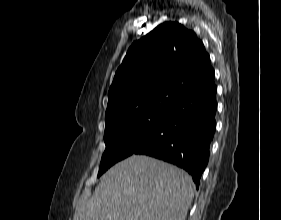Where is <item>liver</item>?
<instances>
[{"label": "liver", "instance_id": "obj_1", "mask_svg": "<svg viewBox=\"0 0 281 220\" xmlns=\"http://www.w3.org/2000/svg\"><path fill=\"white\" fill-rule=\"evenodd\" d=\"M194 189L184 170L132 155L101 177L74 220H185Z\"/></svg>", "mask_w": 281, "mask_h": 220}]
</instances>
